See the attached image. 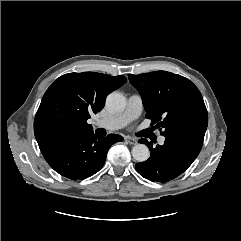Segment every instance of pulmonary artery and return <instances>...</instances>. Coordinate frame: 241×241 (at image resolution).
Segmentation results:
<instances>
[{"label":"pulmonary artery","mask_w":241,"mask_h":241,"mask_svg":"<svg viewBox=\"0 0 241 241\" xmlns=\"http://www.w3.org/2000/svg\"><path fill=\"white\" fill-rule=\"evenodd\" d=\"M143 109L142 99L139 95H131L128 99L126 109L110 118L99 119L95 122L96 126L107 130H116L125 127L127 124L137 119ZM165 137H159V143L163 144Z\"/></svg>","instance_id":"e3ab8cb5"}]
</instances>
